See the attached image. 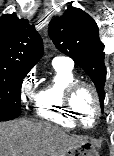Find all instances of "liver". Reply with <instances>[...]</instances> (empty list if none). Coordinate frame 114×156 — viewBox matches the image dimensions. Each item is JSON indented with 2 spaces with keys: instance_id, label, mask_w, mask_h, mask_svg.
Segmentation results:
<instances>
[{
  "instance_id": "obj_1",
  "label": "liver",
  "mask_w": 114,
  "mask_h": 156,
  "mask_svg": "<svg viewBox=\"0 0 114 156\" xmlns=\"http://www.w3.org/2000/svg\"><path fill=\"white\" fill-rule=\"evenodd\" d=\"M85 140L48 122H0V156H65Z\"/></svg>"
}]
</instances>
